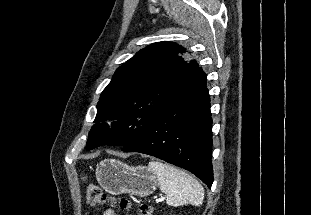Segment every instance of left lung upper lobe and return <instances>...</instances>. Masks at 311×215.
I'll list each match as a JSON object with an SVG mask.
<instances>
[{
    "mask_svg": "<svg viewBox=\"0 0 311 215\" xmlns=\"http://www.w3.org/2000/svg\"><path fill=\"white\" fill-rule=\"evenodd\" d=\"M199 65L185 48L154 43L122 64L101 93L87 150L102 145L126 146L153 116L194 77ZM117 120L111 124L106 120Z\"/></svg>",
    "mask_w": 311,
    "mask_h": 215,
    "instance_id": "obj_1",
    "label": "left lung upper lobe"
}]
</instances>
